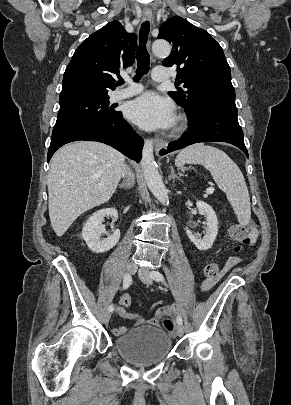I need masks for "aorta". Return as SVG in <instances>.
Listing matches in <instances>:
<instances>
[{
	"mask_svg": "<svg viewBox=\"0 0 291 405\" xmlns=\"http://www.w3.org/2000/svg\"><path fill=\"white\" fill-rule=\"evenodd\" d=\"M152 51L157 56H168L171 52V46L165 40H156L152 45ZM141 166L149 190L162 204H168V193L162 181V177L157 170V164L153 155L152 140H146L144 143Z\"/></svg>",
	"mask_w": 291,
	"mask_h": 405,
	"instance_id": "obj_1",
	"label": "aorta"
}]
</instances>
